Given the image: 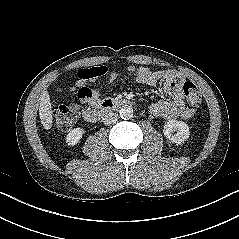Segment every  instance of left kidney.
Wrapping results in <instances>:
<instances>
[{
  "label": "left kidney",
  "instance_id": "obj_1",
  "mask_svg": "<svg viewBox=\"0 0 239 239\" xmlns=\"http://www.w3.org/2000/svg\"><path fill=\"white\" fill-rule=\"evenodd\" d=\"M163 133L168 140L176 144L183 143L190 136L188 124L177 120H168L163 127Z\"/></svg>",
  "mask_w": 239,
  "mask_h": 239
}]
</instances>
